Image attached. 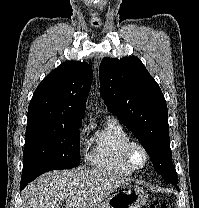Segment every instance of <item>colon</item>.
<instances>
[{
	"label": "colon",
	"instance_id": "5ec220e1",
	"mask_svg": "<svg viewBox=\"0 0 199 208\" xmlns=\"http://www.w3.org/2000/svg\"><path fill=\"white\" fill-rule=\"evenodd\" d=\"M149 208H167V206L165 204H159V205L151 204Z\"/></svg>",
	"mask_w": 199,
	"mask_h": 208
}]
</instances>
